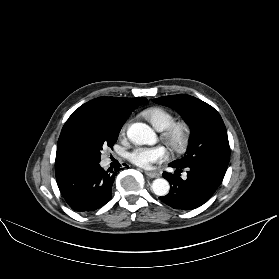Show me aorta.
Segmentation results:
<instances>
[{"mask_svg": "<svg viewBox=\"0 0 279 279\" xmlns=\"http://www.w3.org/2000/svg\"><path fill=\"white\" fill-rule=\"evenodd\" d=\"M129 140L135 144H152L156 140L155 132L144 123H134L127 130ZM169 182L164 178L155 179L152 183V191L158 196L169 193Z\"/></svg>", "mask_w": 279, "mask_h": 279, "instance_id": "aorta-1", "label": "aorta"}]
</instances>
